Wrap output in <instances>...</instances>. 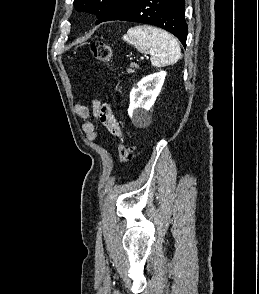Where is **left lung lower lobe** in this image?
Segmentation results:
<instances>
[{"instance_id": "0a47b994", "label": "left lung lower lobe", "mask_w": 259, "mask_h": 294, "mask_svg": "<svg viewBox=\"0 0 259 294\" xmlns=\"http://www.w3.org/2000/svg\"><path fill=\"white\" fill-rule=\"evenodd\" d=\"M184 6L185 0H125L104 21H132L158 26L175 35L186 46L188 27Z\"/></svg>"}]
</instances>
